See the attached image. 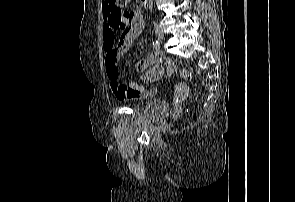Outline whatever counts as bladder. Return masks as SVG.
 <instances>
[{"label": "bladder", "mask_w": 295, "mask_h": 202, "mask_svg": "<svg viewBox=\"0 0 295 202\" xmlns=\"http://www.w3.org/2000/svg\"><path fill=\"white\" fill-rule=\"evenodd\" d=\"M169 113V106L166 102L154 99L149 101L143 108L142 114L149 120H158Z\"/></svg>", "instance_id": "1"}]
</instances>
